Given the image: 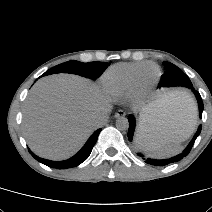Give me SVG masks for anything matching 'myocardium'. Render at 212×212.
<instances>
[{"label": "myocardium", "instance_id": "myocardium-1", "mask_svg": "<svg viewBox=\"0 0 212 212\" xmlns=\"http://www.w3.org/2000/svg\"><path fill=\"white\" fill-rule=\"evenodd\" d=\"M139 76H140V75H139ZM155 76H156V79H159V77H160L159 68H158V72L155 74ZM138 87H139V90H140V91H143V90L146 88V86H143L142 84H140Z\"/></svg>", "mask_w": 212, "mask_h": 212}]
</instances>
